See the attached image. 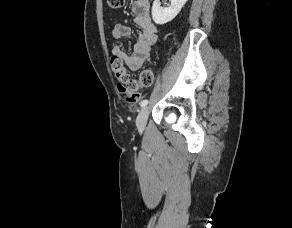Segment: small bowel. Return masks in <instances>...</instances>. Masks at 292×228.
Listing matches in <instances>:
<instances>
[{
  "label": "small bowel",
  "instance_id": "obj_1",
  "mask_svg": "<svg viewBox=\"0 0 292 228\" xmlns=\"http://www.w3.org/2000/svg\"><path fill=\"white\" fill-rule=\"evenodd\" d=\"M131 8L134 23L140 32L131 53L124 51L120 45L112 48L111 62H119L125 69L137 71L149 57L151 49L157 41L158 31L150 16L149 0H134ZM131 34V27L126 24L117 23L113 27V36L117 39L129 37Z\"/></svg>",
  "mask_w": 292,
  "mask_h": 228
}]
</instances>
